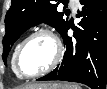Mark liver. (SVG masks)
Wrapping results in <instances>:
<instances>
[{
    "mask_svg": "<svg viewBox=\"0 0 107 89\" xmlns=\"http://www.w3.org/2000/svg\"><path fill=\"white\" fill-rule=\"evenodd\" d=\"M47 84H32V85H28V86H25L24 89H31V88H36V87H41V88H44V86H46ZM52 85H61V84H52Z\"/></svg>",
    "mask_w": 107,
    "mask_h": 89,
    "instance_id": "6515ba94",
    "label": "liver"
}]
</instances>
